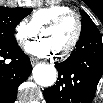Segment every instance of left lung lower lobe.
Returning a JSON list of instances; mask_svg holds the SVG:
<instances>
[{"label": "left lung lower lobe", "instance_id": "left-lung-lower-lobe-1", "mask_svg": "<svg viewBox=\"0 0 103 103\" xmlns=\"http://www.w3.org/2000/svg\"><path fill=\"white\" fill-rule=\"evenodd\" d=\"M58 81L44 90L47 103H91L103 73V43L99 30L80 35L76 48L55 65Z\"/></svg>", "mask_w": 103, "mask_h": 103}]
</instances>
